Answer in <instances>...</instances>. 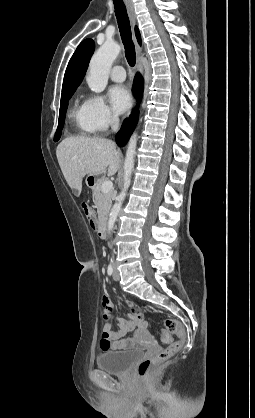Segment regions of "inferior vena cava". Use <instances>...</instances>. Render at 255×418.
I'll return each instance as SVG.
<instances>
[{
	"mask_svg": "<svg viewBox=\"0 0 255 418\" xmlns=\"http://www.w3.org/2000/svg\"><path fill=\"white\" fill-rule=\"evenodd\" d=\"M110 125L114 131H117L119 128V118L116 114L111 115L110 117Z\"/></svg>",
	"mask_w": 255,
	"mask_h": 418,
	"instance_id": "obj_1",
	"label": "inferior vena cava"
}]
</instances>
